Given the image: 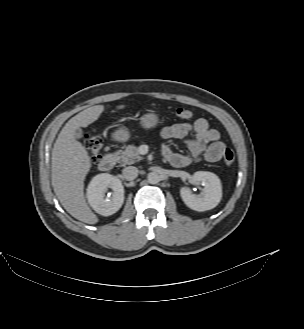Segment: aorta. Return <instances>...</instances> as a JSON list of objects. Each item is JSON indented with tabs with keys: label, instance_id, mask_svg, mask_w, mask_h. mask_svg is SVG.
<instances>
[{
	"label": "aorta",
	"instance_id": "obj_1",
	"mask_svg": "<svg viewBox=\"0 0 304 329\" xmlns=\"http://www.w3.org/2000/svg\"><path fill=\"white\" fill-rule=\"evenodd\" d=\"M147 179L150 184H157L160 181V176L155 172H151L148 174Z\"/></svg>",
	"mask_w": 304,
	"mask_h": 329
}]
</instances>
